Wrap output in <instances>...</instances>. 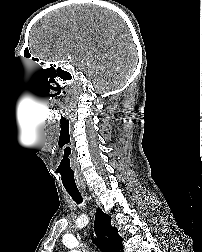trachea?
I'll list each match as a JSON object with an SVG mask.
<instances>
[{
  "mask_svg": "<svg viewBox=\"0 0 202 252\" xmlns=\"http://www.w3.org/2000/svg\"><path fill=\"white\" fill-rule=\"evenodd\" d=\"M65 189L77 204L82 203L83 198L77 187H65Z\"/></svg>",
  "mask_w": 202,
  "mask_h": 252,
  "instance_id": "trachea-1",
  "label": "trachea"
}]
</instances>
